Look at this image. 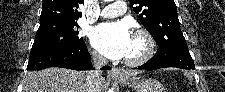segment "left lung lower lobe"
I'll return each instance as SVG.
<instances>
[{
	"mask_svg": "<svg viewBox=\"0 0 225 92\" xmlns=\"http://www.w3.org/2000/svg\"><path fill=\"white\" fill-rule=\"evenodd\" d=\"M165 67H177L181 69H195L190 54H176L170 56L155 55L144 65L137 69L156 70Z\"/></svg>",
	"mask_w": 225,
	"mask_h": 92,
	"instance_id": "0a47b994",
	"label": "left lung lower lobe"
}]
</instances>
